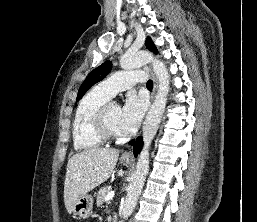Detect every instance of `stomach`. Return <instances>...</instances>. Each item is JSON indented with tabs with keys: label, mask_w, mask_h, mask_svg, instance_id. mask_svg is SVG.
Instances as JSON below:
<instances>
[{
	"label": "stomach",
	"mask_w": 257,
	"mask_h": 222,
	"mask_svg": "<svg viewBox=\"0 0 257 222\" xmlns=\"http://www.w3.org/2000/svg\"><path fill=\"white\" fill-rule=\"evenodd\" d=\"M121 163L128 165L130 159L121 157ZM93 198L91 195H81L73 205V214L80 218H88L92 214Z\"/></svg>",
	"instance_id": "stomach-1"
}]
</instances>
